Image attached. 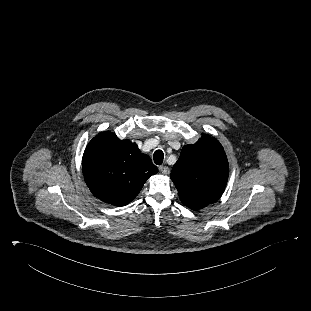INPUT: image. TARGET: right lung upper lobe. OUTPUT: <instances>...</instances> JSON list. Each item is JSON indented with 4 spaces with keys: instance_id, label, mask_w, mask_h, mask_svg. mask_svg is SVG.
I'll use <instances>...</instances> for the list:
<instances>
[{
    "instance_id": "obj_1",
    "label": "right lung upper lobe",
    "mask_w": 311,
    "mask_h": 311,
    "mask_svg": "<svg viewBox=\"0 0 311 311\" xmlns=\"http://www.w3.org/2000/svg\"><path fill=\"white\" fill-rule=\"evenodd\" d=\"M82 171L95 197L114 206H125L158 169L135 143L120 140L112 132L104 131L87 145Z\"/></svg>"
}]
</instances>
